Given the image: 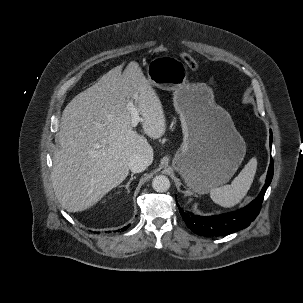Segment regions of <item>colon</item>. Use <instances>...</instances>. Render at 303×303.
Instances as JSON below:
<instances>
[{
    "label": "colon",
    "instance_id": "1",
    "mask_svg": "<svg viewBox=\"0 0 303 303\" xmlns=\"http://www.w3.org/2000/svg\"><path fill=\"white\" fill-rule=\"evenodd\" d=\"M167 51V47L164 45H158L155 48V52L156 53H164ZM181 58L184 61V63L186 64L187 67H189L192 70H197L199 68V63L198 61L192 57L190 54L188 53H182L181 54Z\"/></svg>",
    "mask_w": 303,
    "mask_h": 303
}]
</instances>
